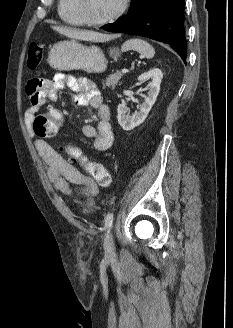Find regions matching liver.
<instances>
[{
	"label": "liver",
	"instance_id": "obj_1",
	"mask_svg": "<svg viewBox=\"0 0 233 328\" xmlns=\"http://www.w3.org/2000/svg\"><path fill=\"white\" fill-rule=\"evenodd\" d=\"M53 30L64 35L71 39H79L83 41H94L101 42L105 39V35L101 33H97L89 30H80L69 27H61V26H52Z\"/></svg>",
	"mask_w": 233,
	"mask_h": 328
}]
</instances>
